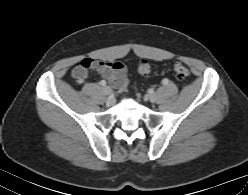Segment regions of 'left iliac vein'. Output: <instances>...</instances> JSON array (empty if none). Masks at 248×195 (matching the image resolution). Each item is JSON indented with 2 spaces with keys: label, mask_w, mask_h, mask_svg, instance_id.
Here are the masks:
<instances>
[{
  "label": "left iliac vein",
  "mask_w": 248,
  "mask_h": 195,
  "mask_svg": "<svg viewBox=\"0 0 248 195\" xmlns=\"http://www.w3.org/2000/svg\"><path fill=\"white\" fill-rule=\"evenodd\" d=\"M148 99L152 103L156 102L157 101V94L154 92L148 94Z\"/></svg>",
  "instance_id": "4c4485c4"
}]
</instances>
